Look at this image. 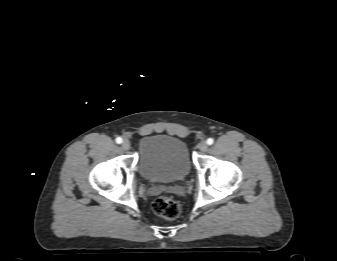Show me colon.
Wrapping results in <instances>:
<instances>
[{"instance_id":"obj_1","label":"colon","mask_w":337,"mask_h":261,"mask_svg":"<svg viewBox=\"0 0 337 261\" xmlns=\"http://www.w3.org/2000/svg\"><path fill=\"white\" fill-rule=\"evenodd\" d=\"M152 209L156 215L164 219H175L180 213L179 204L170 196H159L154 199Z\"/></svg>"}]
</instances>
